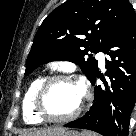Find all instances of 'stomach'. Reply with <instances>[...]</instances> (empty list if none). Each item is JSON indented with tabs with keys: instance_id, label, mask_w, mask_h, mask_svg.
Returning <instances> with one entry per match:
<instances>
[{
	"instance_id": "1",
	"label": "stomach",
	"mask_w": 136,
	"mask_h": 136,
	"mask_svg": "<svg viewBox=\"0 0 136 136\" xmlns=\"http://www.w3.org/2000/svg\"><path fill=\"white\" fill-rule=\"evenodd\" d=\"M54 136H81L78 132L72 130H64Z\"/></svg>"
}]
</instances>
